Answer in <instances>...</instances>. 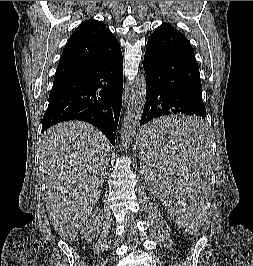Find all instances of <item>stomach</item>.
Wrapping results in <instances>:
<instances>
[{
    "label": "stomach",
    "instance_id": "obj_1",
    "mask_svg": "<svg viewBox=\"0 0 253 266\" xmlns=\"http://www.w3.org/2000/svg\"><path fill=\"white\" fill-rule=\"evenodd\" d=\"M139 138H144V134H143L142 131H141V132L139 133V135H138V143H139Z\"/></svg>",
    "mask_w": 253,
    "mask_h": 266
}]
</instances>
